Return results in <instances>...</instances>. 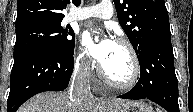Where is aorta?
<instances>
[{"label": "aorta", "instance_id": "762f6f07", "mask_svg": "<svg viewBox=\"0 0 193 112\" xmlns=\"http://www.w3.org/2000/svg\"><path fill=\"white\" fill-rule=\"evenodd\" d=\"M95 40L97 41V40H98V38H97V37H95Z\"/></svg>", "mask_w": 193, "mask_h": 112}]
</instances>
